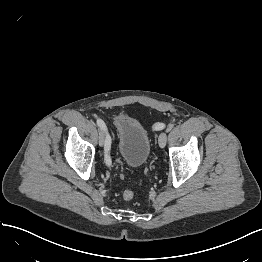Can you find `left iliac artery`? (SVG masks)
I'll list each match as a JSON object with an SVG mask.
<instances>
[{
    "label": "left iliac artery",
    "mask_w": 262,
    "mask_h": 262,
    "mask_svg": "<svg viewBox=\"0 0 262 262\" xmlns=\"http://www.w3.org/2000/svg\"><path fill=\"white\" fill-rule=\"evenodd\" d=\"M155 128H156L157 130H162V129L165 128V124H163V123H157V124L155 125Z\"/></svg>",
    "instance_id": "obj_1"
}]
</instances>
